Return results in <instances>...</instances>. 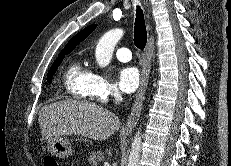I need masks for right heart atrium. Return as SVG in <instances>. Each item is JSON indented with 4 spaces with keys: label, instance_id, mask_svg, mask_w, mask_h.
Returning <instances> with one entry per match:
<instances>
[{
    "label": "right heart atrium",
    "instance_id": "d8ad5b80",
    "mask_svg": "<svg viewBox=\"0 0 231 166\" xmlns=\"http://www.w3.org/2000/svg\"><path fill=\"white\" fill-rule=\"evenodd\" d=\"M90 96L98 101H106L109 97L118 98L119 92L115 85L100 72H92Z\"/></svg>",
    "mask_w": 231,
    "mask_h": 166
}]
</instances>
